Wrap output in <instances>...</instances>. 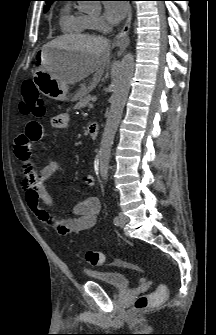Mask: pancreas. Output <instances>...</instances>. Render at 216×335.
Returning <instances> with one entry per match:
<instances>
[{"mask_svg":"<svg viewBox=\"0 0 216 335\" xmlns=\"http://www.w3.org/2000/svg\"><path fill=\"white\" fill-rule=\"evenodd\" d=\"M91 99L92 97L89 95V90L87 88H83L79 102L74 106V109H81L86 107L90 103Z\"/></svg>","mask_w":216,"mask_h":335,"instance_id":"obj_1","label":"pancreas"}]
</instances>
